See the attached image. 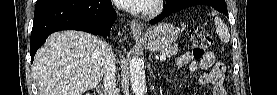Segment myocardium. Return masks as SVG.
<instances>
[{
  "label": "myocardium",
  "instance_id": "obj_1",
  "mask_svg": "<svg viewBox=\"0 0 277 95\" xmlns=\"http://www.w3.org/2000/svg\"><path fill=\"white\" fill-rule=\"evenodd\" d=\"M162 10V0H151V3L141 11L144 18L154 17Z\"/></svg>",
  "mask_w": 277,
  "mask_h": 95
}]
</instances>
